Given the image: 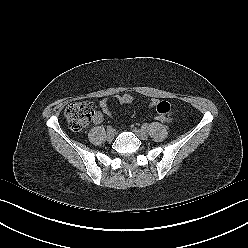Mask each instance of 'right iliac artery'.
<instances>
[{
    "mask_svg": "<svg viewBox=\"0 0 248 248\" xmlns=\"http://www.w3.org/2000/svg\"><path fill=\"white\" fill-rule=\"evenodd\" d=\"M107 131H113V127L112 126H107Z\"/></svg>",
    "mask_w": 248,
    "mask_h": 248,
    "instance_id": "1",
    "label": "right iliac artery"
}]
</instances>
